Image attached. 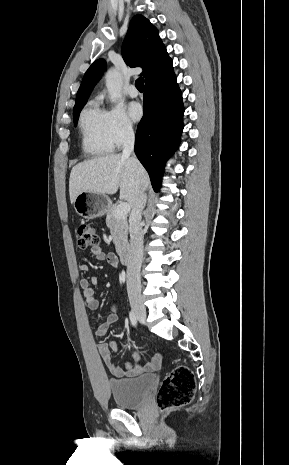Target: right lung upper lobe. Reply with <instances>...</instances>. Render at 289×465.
Masks as SVG:
<instances>
[{
	"mask_svg": "<svg viewBox=\"0 0 289 465\" xmlns=\"http://www.w3.org/2000/svg\"><path fill=\"white\" fill-rule=\"evenodd\" d=\"M122 56L130 67L143 68L145 85L174 75L173 62L168 56L157 29L142 15H135L122 45ZM106 62L96 60L86 71L77 92L76 102L87 100L101 78Z\"/></svg>",
	"mask_w": 289,
	"mask_h": 465,
	"instance_id": "cb5924a9",
	"label": "right lung upper lobe"
}]
</instances>
